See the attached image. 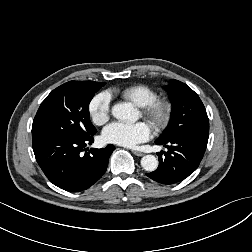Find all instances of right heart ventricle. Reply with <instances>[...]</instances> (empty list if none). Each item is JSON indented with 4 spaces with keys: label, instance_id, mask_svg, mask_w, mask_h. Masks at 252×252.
Segmentation results:
<instances>
[{
    "label": "right heart ventricle",
    "instance_id": "right-heart-ventricle-1",
    "mask_svg": "<svg viewBox=\"0 0 252 252\" xmlns=\"http://www.w3.org/2000/svg\"><path fill=\"white\" fill-rule=\"evenodd\" d=\"M119 94L138 107H144L157 98V93L144 84H136L123 88Z\"/></svg>",
    "mask_w": 252,
    "mask_h": 252
}]
</instances>
